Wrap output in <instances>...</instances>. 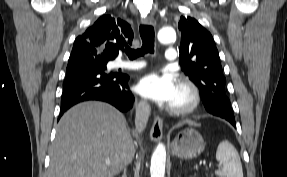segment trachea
Returning a JSON list of instances; mask_svg holds the SVG:
<instances>
[{
	"label": "trachea",
	"instance_id": "1",
	"mask_svg": "<svg viewBox=\"0 0 287 177\" xmlns=\"http://www.w3.org/2000/svg\"><path fill=\"white\" fill-rule=\"evenodd\" d=\"M140 36L142 39L141 49L134 50L128 46L125 47L124 51L130 60H134L146 53H154V28L150 25H140Z\"/></svg>",
	"mask_w": 287,
	"mask_h": 177
}]
</instances>
